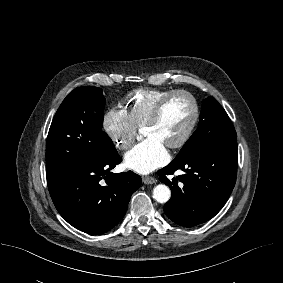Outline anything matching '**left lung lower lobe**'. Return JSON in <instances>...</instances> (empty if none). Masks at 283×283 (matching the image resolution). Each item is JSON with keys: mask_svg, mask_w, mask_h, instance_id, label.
I'll use <instances>...</instances> for the list:
<instances>
[{"mask_svg": "<svg viewBox=\"0 0 283 283\" xmlns=\"http://www.w3.org/2000/svg\"><path fill=\"white\" fill-rule=\"evenodd\" d=\"M236 140L204 146L175 158L158 171L161 182L171 189L164 212L175 223L192 227L214 217L227 202L236 182ZM176 170L184 174L172 180Z\"/></svg>", "mask_w": 283, "mask_h": 283, "instance_id": "obj_1", "label": "left lung lower lobe"}]
</instances>
